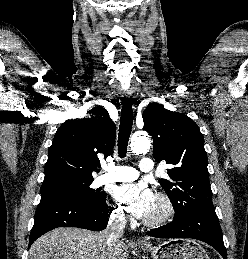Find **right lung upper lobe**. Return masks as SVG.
Here are the masks:
<instances>
[{
    "instance_id": "right-lung-upper-lobe-1",
    "label": "right lung upper lobe",
    "mask_w": 248,
    "mask_h": 259,
    "mask_svg": "<svg viewBox=\"0 0 248 259\" xmlns=\"http://www.w3.org/2000/svg\"><path fill=\"white\" fill-rule=\"evenodd\" d=\"M90 118L67 120L49 149L43 184L93 180L92 171L107 158L115 143V124L103 107L88 111Z\"/></svg>"
}]
</instances>
